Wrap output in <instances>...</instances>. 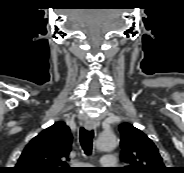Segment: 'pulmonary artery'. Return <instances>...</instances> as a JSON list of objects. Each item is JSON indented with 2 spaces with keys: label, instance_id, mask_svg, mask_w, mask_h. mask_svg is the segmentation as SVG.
Instances as JSON below:
<instances>
[{
  "label": "pulmonary artery",
  "instance_id": "obj_1",
  "mask_svg": "<svg viewBox=\"0 0 184 173\" xmlns=\"http://www.w3.org/2000/svg\"><path fill=\"white\" fill-rule=\"evenodd\" d=\"M100 164L105 168H111L117 164V159L113 155H105L102 159Z\"/></svg>",
  "mask_w": 184,
  "mask_h": 173
}]
</instances>
